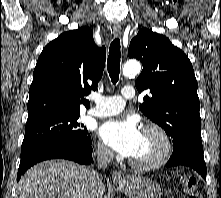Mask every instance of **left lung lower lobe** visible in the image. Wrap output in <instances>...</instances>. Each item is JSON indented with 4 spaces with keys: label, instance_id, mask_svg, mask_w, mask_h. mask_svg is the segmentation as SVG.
<instances>
[{
    "label": "left lung lower lobe",
    "instance_id": "obj_1",
    "mask_svg": "<svg viewBox=\"0 0 221 198\" xmlns=\"http://www.w3.org/2000/svg\"><path fill=\"white\" fill-rule=\"evenodd\" d=\"M185 165L196 170L206 180V164L203 156V149L193 146L190 148L175 150L172 153L167 167Z\"/></svg>",
    "mask_w": 221,
    "mask_h": 198
}]
</instances>
